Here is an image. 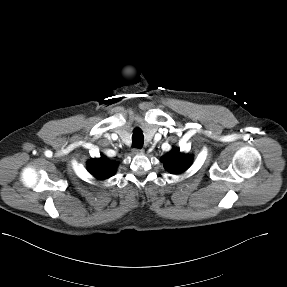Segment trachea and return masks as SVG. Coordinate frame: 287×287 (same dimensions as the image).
I'll return each instance as SVG.
<instances>
[{
	"label": "trachea",
	"mask_w": 287,
	"mask_h": 287,
	"mask_svg": "<svg viewBox=\"0 0 287 287\" xmlns=\"http://www.w3.org/2000/svg\"><path fill=\"white\" fill-rule=\"evenodd\" d=\"M144 143V136L142 134V131L140 129H135L134 133L132 135V145L135 148H142Z\"/></svg>",
	"instance_id": "3493384b"
}]
</instances>
